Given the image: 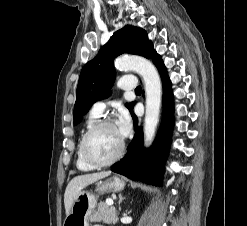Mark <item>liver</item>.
<instances>
[{
  "label": "liver",
  "mask_w": 247,
  "mask_h": 226,
  "mask_svg": "<svg viewBox=\"0 0 247 226\" xmlns=\"http://www.w3.org/2000/svg\"><path fill=\"white\" fill-rule=\"evenodd\" d=\"M110 175V172H99L92 174H84L74 177L67 185L65 194H64V205L66 215L69 214L72 204L76 199L77 195L82 191L86 186L94 183L99 179H103Z\"/></svg>",
  "instance_id": "6515ba94"
}]
</instances>
